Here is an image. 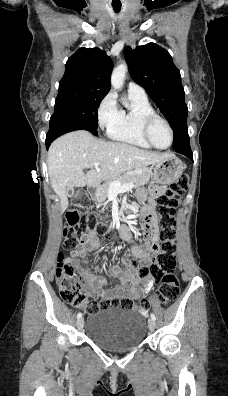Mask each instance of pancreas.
I'll return each instance as SVG.
<instances>
[{
  "label": "pancreas",
  "instance_id": "1",
  "mask_svg": "<svg viewBox=\"0 0 228 396\" xmlns=\"http://www.w3.org/2000/svg\"><path fill=\"white\" fill-rule=\"evenodd\" d=\"M149 178L150 175L148 173V169H144L137 173H127L117 177L116 179L107 180L102 186L98 188V199L100 201H104L109 197L111 193V183L113 181H119L121 184L132 182L134 187L137 188L147 183Z\"/></svg>",
  "mask_w": 228,
  "mask_h": 396
}]
</instances>
